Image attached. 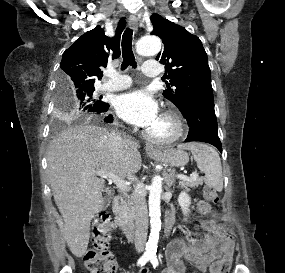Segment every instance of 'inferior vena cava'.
<instances>
[{"mask_svg":"<svg viewBox=\"0 0 285 273\" xmlns=\"http://www.w3.org/2000/svg\"><path fill=\"white\" fill-rule=\"evenodd\" d=\"M123 138L115 132H110V144L117 152V155L121 157V147ZM132 181L137 179L130 175L128 176ZM134 192L132 194L134 212H135V248L137 252H143L145 250V244L148 232V211L144 194L139 188V184L134 186Z\"/></svg>","mask_w":285,"mask_h":273,"instance_id":"602c4592","label":"inferior vena cava"}]
</instances>
